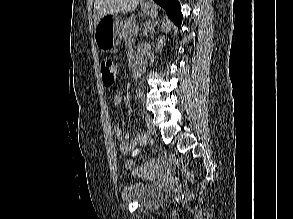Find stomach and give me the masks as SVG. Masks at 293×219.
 Returning <instances> with one entry per match:
<instances>
[{
	"label": "stomach",
	"instance_id": "stomach-1",
	"mask_svg": "<svg viewBox=\"0 0 293 219\" xmlns=\"http://www.w3.org/2000/svg\"><path fill=\"white\" fill-rule=\"evenodd\" d=\"M146 15L154 17L157 15V8L152 3L142 5ZM122 21L116 14L104 16L95 26L94 40L101 50L110 51L115 49L122 39Z\"/></svg>",
	"mask_w": 293,
	"mask_h": 219
}]
</instances>
